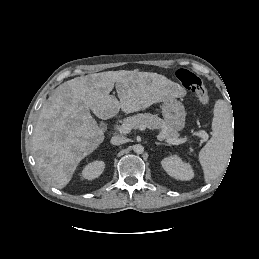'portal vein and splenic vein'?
I'll use <instances>...</instances> for the list:
<instances>
[{
	"label": "portal vein and splenic vein",
	"instance_id": "obj_1",
	"mask_svg": "<svg viewBox=\"0 0 259 259\" xmlns=\"http://www.w3.org/2000/svg\"><path fill=\"white\" fill-rule=\"evenodd\" d=\"M132 130V127L130 124H123L118 128V131L121 134H128L130 131ZM197 136L201 137L203 139V141H207L209 135L205 132V131H201L196 133ZM159 139H165L162 136H157ZM168 143L173 144V145H179V144H183L189 140H187L186 138H182V139H178V138H170V139H166ZM192 142V141H189Z\"/></svg>",
	"mask_w": 259,
	"mask_h": 259
}]
</instances>
